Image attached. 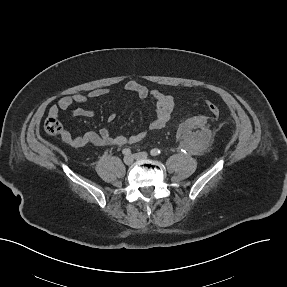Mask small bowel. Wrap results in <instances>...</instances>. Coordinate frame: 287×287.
<instances>
[{"label": "small bowel", "instance_id": "1", "mask_svg": "<svg viewBox=\"0 0 287 287\" xmlns=\"http://www.w3.org/2000/svg\"><path fill=\"white\" fill-rule=\"evenodd\" d=\"M125 89L136 95L140 99H151L154 107L155 117L148 126V131L159 130L165 127L169 121L174 109V97L170 94L163 93L159 90H149L146 86L129 80L124 85ZM109 93L106 88L95 89L87 94H74L62 97L57 104L52 105L49 109L51 116L57 117L61 112H70L71 115L77 117H92L93 109L89 107L73 108V105H88L91 100L100 98ZM110 121L114 120V116L109 117ZM147 135V131L132 135H112L111 132L102 128L98 131H89L81 135H74L69 130L62 132V140L72 147H84L89 144L95 146H121L126 144H135Z\"/></svg>", "mask_w": 287, "mask_h": 287}]
</instances>
